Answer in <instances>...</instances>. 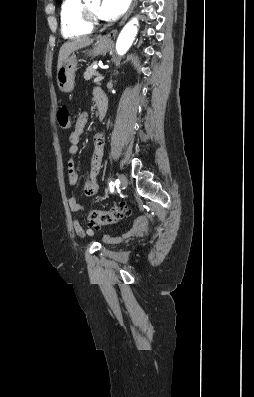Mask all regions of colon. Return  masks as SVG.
Returning <instances> with one entry per match:
<instances>
[{
	"instance_id": "1",
	"label": "colon",
	"mask_w": 254,
	"mask_h": 397,
	"mask_svg": "<svg viewBox=\"0 0 254 397\" xmlns=\"http://www.w3.org/2000/svg\"><path fill=\"white\" fill-rule=\"evenodd\" d=\"M57 121L61 129L70 128V115L66 107L59 109ZM130 213V209L124 205L108 210H90L87 214V220L94 225H110L118 222L124 216Z\"/></svg>"
}]
</instances>
